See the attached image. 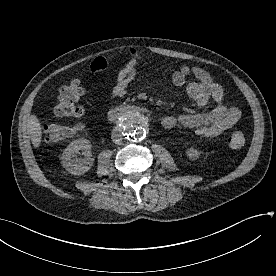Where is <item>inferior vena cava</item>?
Returning <instances> with one entry per match:
<instances>
[{"mask_svg":"<svg viewBox=\"0 0 276 276\" xmlns=\"http://www.w3.org/2000/svg\"><path fill=\"white\" fill-rule=\"evenodd\" d=\"M122 134L121 132L119 131H113L112 132V141L115 143V144H120L122 142Z\"/></svg>","mask_w":276,"mask_h":276,"instance_id":"1","label":"inferior vena cava"}]
</instances>
